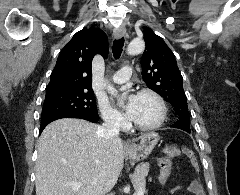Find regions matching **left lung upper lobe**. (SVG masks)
<instances>
[{
	"instance_id": "5c2ea615",
	"label": "left lung upper lobe",
	"mask_w": 240,
	"mask_h": 195,
	"mask_svg": "<svg viewBox=\"0 0 240 195\" xmlns=\"http://www.w3.org/2000/svg\"><path fill=\"white\" fill-rule=\"evenodd\" d=\"M146 48L142 55V77L146 85L170 103L178 116L173 124L190 133V117L183 89V78L175 56L161 37L144 28Z\"/></svg>"
}]
</instances>
